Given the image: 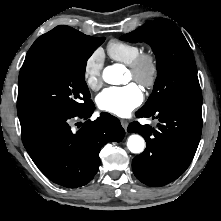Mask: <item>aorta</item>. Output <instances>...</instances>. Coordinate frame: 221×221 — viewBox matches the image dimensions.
<instances>
[{"instance_id":"762f6f07","label":"aorta","mask_w":221,"mask_h":221,"mask_svg":"<svg viewBox=\"0 0 221 221\" xmlns=\"http://www.w3.org/2000/svg\"><path fill=\"white\" fill-rule=\"evenodd\" d=\"M123 74V66L119 64L107 66L103 70V80L106 83L118 85L121 82ZM128 149L135 154L142 153L145 148L144 139L138 134H132L129 136L127 141Z\"/></svg>"}]
</instances>
